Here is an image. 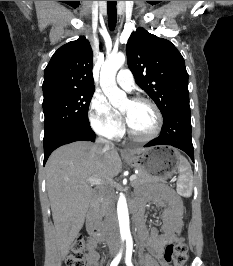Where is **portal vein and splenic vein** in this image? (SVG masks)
I'll return each mask as SVG.
<instances>
[{
	"mask_svg": "<svg viewBox=\"0 0 233 266\" xmlns=\"http://www.w3.org/2000/svg\"><path fill=\"white\" fill-rule=\"evenodd\" d=\"M135 179H136V175L135 174L130 176V181H134ZM88 182H89L90 185H102V184L105 183L101 179L93 178V177L89 178Z\"/></svg>",
	"mask_w": 233,
	"mask_h": 266,
	"instance_id": "1",
	"label": "portal vein and splenic vein"
}]
</instances>
